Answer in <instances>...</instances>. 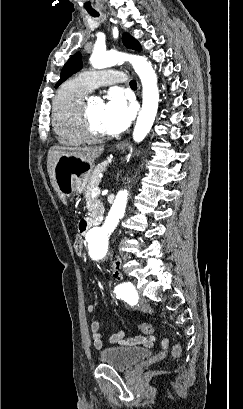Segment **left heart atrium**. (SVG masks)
Returning <instances> with one entry per match:
<instances>
[{"mask_svg": "<svg viewBox=\"0 0 243 409\" xmlns=\"http://www.w3.org/2000/svg\"><path fill=\"white\" fill-rule=\"evenodd\" d=\"M132 108L119 94H113L104 105L102 124L105 134H118L130 124Z\"/></svg>", "mask_w": 243, "mask_h": 409, "instance_id": "obj_1", "label": "left heart atrium"}]
</instances>
